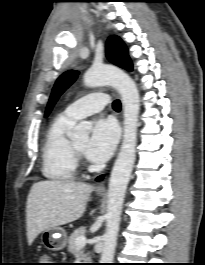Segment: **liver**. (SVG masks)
I'll return each instance as SVG.
<instances>
[{
    "instance_id": "liver-1",
    "label": "liver",
    "mask_w": 205,
    "mask_h": 265,
    "mask_svg": "<svg viewBox=\"0 0 205 265\" xmlns=\"http://www.w3.org/2000/svg\"><path fill=\"white\" fill-rule=\"evenodd\" d=\"M93 186L73 181L34 183L26 203L28 244L43 231L78 220L86 209Z\"/></svg>"
}]
</instances>
